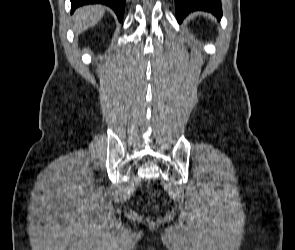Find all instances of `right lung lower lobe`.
Listing matches in <instances>:
<instances>
[{
  "mask_svg": "<svg viewBox=\"0 0 295 250\" xmlns=\"http://www.w3.org/2000/svg\"><path fill=\"white\" fill-rule=\"evenodd\" d=\"M94 3H101L111 7L115 11L119 21H122L125 0H71V12H74V10L79 6Z\"/></svg>",
  "mask_w": 295,
  "mask_h": 250,
  "instance_id": "1",
  "label": "right lung lower lobe"
}]
</instances>
